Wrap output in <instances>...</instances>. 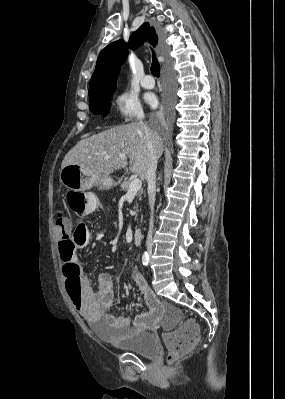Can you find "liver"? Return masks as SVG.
<instances>
[{"instance_id": "obj_1", "label": "liver", "mask_w": 285, "mask_h": 399, "mask_svg": "<svg viewBox=\"0 0 285 399\" xmlns=\"http://www.w3.org/2000/svg\"><path fill=\"white\" fill-rule=\"evenodd\" d=\"M148 135L158 141V157L163 153L160 136L140 123H129L113 127L79 141L64 157L61 168L78 165L94 177L109 176L110 173L125 168L130 159L133 173L146 179ZM125 154L124 158L120 155Z\"/></svg>"}]
</instances>
